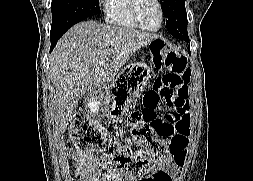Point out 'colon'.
<instances>
[{
  "mask_svg": "<svg viewBox=\"0 0 253 181\" xmlns=\"http://www.w3.org/2000/svg\"><path fill=\"white\" fill-rule=\"evenodd\" d=\"M149 46L154 49L150 50L154 60H160L170 70L154 81L145 95L143 109L133 111L127 119L131 136L144 148L132 150L85 114L77 115L71 125L72 139L78 149L90 154L105 170L141 175L150 167H164L176 157L174 142L180 130H174L173 126L189 116L191 73L185 50L167 47L161 38L149 41ZM163 102L171 108L164 118L157 115Z\"/></svg>",
  "mask_w": 253,
  "mask_h": 181,
  "instance_id": "5ec220e1",
  "label": "colon"
}]
</instances>
